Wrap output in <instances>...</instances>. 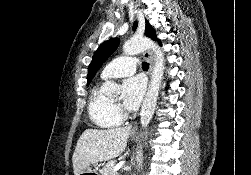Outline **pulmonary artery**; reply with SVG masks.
Instances as JSON below:
<instances>
[{"mask_svg":"<svg viewBox=\"0 0 251 175\" xmlns=\"http://www.w3.org/2000/svg\"><path fill=\"white\" fill-rule=\"evenodd\" d=\"M134 58V56L131 58V55H122V58H117L116 62H108V66L103 69L100 78L107 80L134 73L136 67H140V62H134Z\"/></svg>","mask_w":251,"mask_h":175,"instance_id":"pulmonary-artery-1","label":"pulmonary artery"}]
</instances>
